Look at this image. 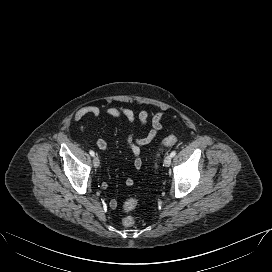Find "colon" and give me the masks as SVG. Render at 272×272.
<instances>
[{
	"label": "colon",
	"instance_id": "5ec220e1",
	"mask_svg": "<svg viewBox=\"0 0 272 272\" xmlns=\"http://www.w3.org/2000/svg\"><path fill=\"white\" fill-rule=\"evenodd\" d=\"M177 141H178L177 137L168 136L161 141L160 149L163 150L166 148H170V147L174 146L177 143ZM159 157H160V153L157 154V160L159 159ZM137 205H138V200L135 198H130L124 202L123 209L125 211L129 212V211H132L133 209H135ZM134 223H135V219L130 215H127V216L123 217V219H122V224L125 227H131L134 225Z\"/></svg>",
	"mask_w": 272,
	"mask_h": 272
}]
</instances>
